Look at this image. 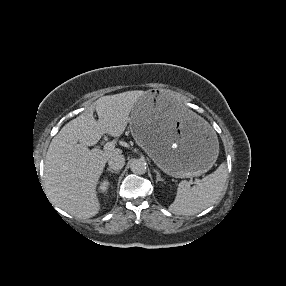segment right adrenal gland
Wrapping results in <instances>:
<instances>
[{
	"label": "right adrenal gland",
	"instance_id": "obj_1",
	"mask_svg": "<svg viewBox=\"0 0 286 286\" xmlns=\"http://www.w3.org/2000/svg\"><path fill=\"white\" fill-rule=\"evenodd\" d=\"M106 171H107V172L114 173V174H118V173H119V171H114V170H112L111 168H107Z\"/></svg>",
	"mask_w": 286,
	"mask_h": 286
}]
</instances>
